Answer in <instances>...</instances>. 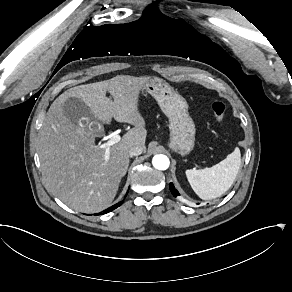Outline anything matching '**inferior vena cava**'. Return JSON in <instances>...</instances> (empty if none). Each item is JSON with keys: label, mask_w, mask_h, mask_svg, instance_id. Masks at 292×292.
I'll return each instance as SVG.
<instances>
[{"label": "inferior vena cava", "mask_w": 292, "mask_h": 292, "mask_svg": "<svg viewBox=\"0 0 292 292\" xmlns=\"http://www.w3.org/2000/svg\"><path fill=\"white\" fill-rule=\"evenodd\" d=\"M142 152H143V148L141 146H135L131 148L129 152V156L130 157L139 156L142 154Z\"/></svg>", "instance_id": "1"}]
</instances>
